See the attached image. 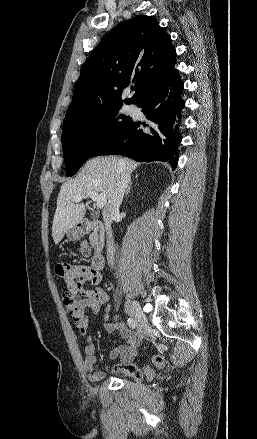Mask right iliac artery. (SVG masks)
Listing matches in <instances>:
<instances>
[{
	"mask_svg": "<svg viewBox=\"0 0 257 439\" xmlns=\"http://www.w3.org/2000/svg\"><path fill=\"white\" fill-rule=\"evenodd\" d=\"M127 324L129 325V327H131L132 329H134L137 325L136 321L133 318H128L127 320Z\"/></svg>",
	"mask_w": 257,
	"mask_h": 439,
	"instance_id": "1",
	"label": "right iliac artery"
}]
</instances>
